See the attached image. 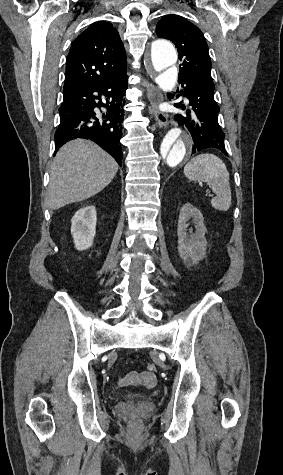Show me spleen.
Returning a JSON list of instances; mask_svg holds the SVG:
<instances>
[{"mask_svg":"<svg viewBox=\"0 0 283 475\" xmlns=\"http://www.w3.org/2000/svg\"><path fill=\"white\" fill-rule=\"evenodd\" d=\"M184 174L188 180L206 182L207 186L216 194V198L211 200L215 210H220V212L229 210L231 206L230 178L222 160L213 154H200L186 164Z\"/></svg>","mask_w":283,"mask_h":475,"instance_id":"3e777b00","label":"spleen"}]
</instances>
